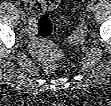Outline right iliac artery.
Returning a JSON list of instances; mask_svg holds the SVG:
<instances>
[{
    "mask_svg": "<svg viewBox=\"0 0 111 106\" xmlns=\"http://www.w3.org/2000/svg\"><path fill=\"white\" fill-rule=\"evenodd\" d=\"M16 6L19 12H23V9L20 7L19 3H16Z\"/></svg>",
    "mask_w": 111,
    "mask_h": 106,
    "instance_id": "obj_1",
    "label": "right iliac artery"
}]
</instances>
